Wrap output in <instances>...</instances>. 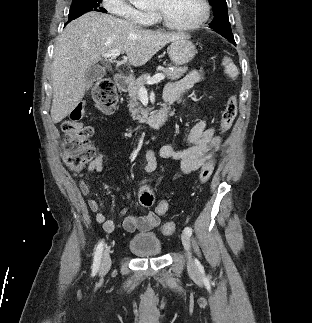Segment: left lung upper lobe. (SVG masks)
Instances as JSON below:
<instances>
[{"label":"left lung upper lobe","mask_w":312,"mask_h":323,"mask_svg":"<svg viewBox=\"0 0 312 323\" xmlns=\"http://www.w3.org/2000/svg\"><path fill=\"white\" fill-rule=\"evenodd\" d=\"M209 3L214 11V19L209 24L210 28L230 41L235 42L228 19L226 0H209Z\"/></svg>","instance_id":"5c2ea615"}]
</instances>
